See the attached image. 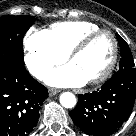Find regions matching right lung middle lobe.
Listing matches in <instances>:
<instances>
[{
  "label": "right lung middle lobe",
  "instance_id": "right-lung-middle-lobe-1",
  "mask_svg": "<svg viewBox=\"0 0 136 136\" xmlns=\"http://www.w3.org/2000/svg\"><path fill=\"white\" fill-rule=\"evenodd\" d=\"M34 21V16L0 17V67L24 66L22 39Z\"/></svg>",
  "mask_w": 136,
  "mask_h": 136
}]
</instances>
